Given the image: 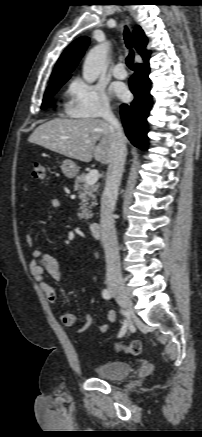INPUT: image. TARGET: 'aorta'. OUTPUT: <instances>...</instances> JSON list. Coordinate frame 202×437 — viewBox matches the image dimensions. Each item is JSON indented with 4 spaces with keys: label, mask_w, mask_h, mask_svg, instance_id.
Here are the masks:
<instances>
[{
    "label": "aorta",
    "mask_w": 202,
    "mask_h": 437,
    "mask_svg": "<svg viewBox=\"0 0 202 437\" xmlns=\"http://www.w3.org/2000/svg\"><path fill=\"white\" fill-rule=\"evenodd\" d=\"M108 44H100L92 48L86 56L83 65V79L87 83H93L99 75L106 70V58Z\"/></svg>",
    "instance_id": "762f6f07"
}]
</instances>
